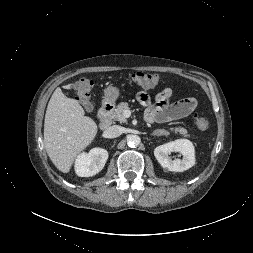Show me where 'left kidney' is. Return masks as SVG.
Here are the masks:
<instances>
[{
  "label": "left kidney",
  "mask_w": 253,
  "mask_h": 253,
  "mask_svg": "<svg viewBox=\"0 0 253 253\" xmlns=\"http://www.w3.org/2000/svg\"><path fill=\"white\" fill-rule=\"evenodd\" d=\"M172 152H179L183 155L181 160H172L169 155ZM154 155L163 168L169 171L182 172L188 170L195 164V150L191 141L178 139L160 145L155 148Z\"/></svg>",
  "instance_id": "obj_1"
}]
</instances>
